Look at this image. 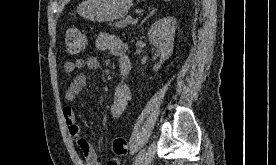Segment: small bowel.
Returning <instances> with one entry per match:
<instances>
[{
	"mask_svg": "<svg viewBox=\"0 0 276 165\" xmlns=\"http://www.w3.org/2000/svg\"><path fill=\"white\" fill-rule=\"evenodd\" d=\"M96 47L100 51L108 52L117 58L121 79L116 83L114 89V98L110 107V115L113 119L119 118L125 111L128 102L131 100V90L126 82V77L131 69V62L127 54V45L115 35L108 32H101L95 41ZM100 66V62L95 56L87 58H78L74 61H66L62 70L65 74H73L77 70L84 68L96 70ZM86 75L84 73L77 74L72 82L65 89V99L73 101L86 85ZM64 119L69 134L80 148L86 165H102L98 159L94 148L81 135L80 128L77 123L76 115L71 107L63 109ZM106 165H119V161L115 157L107 160Z\"/></svg>",
	"mask_w": 276,
	"mask_h": 165,
	"instance_id": "small-bowel-1",
	"label": "small bowel"
}]
</instances>
